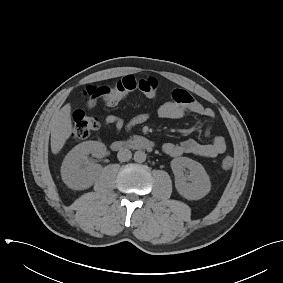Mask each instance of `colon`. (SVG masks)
Here are the masks:
<instances>
[{"mask_svg":"<svg viewBox=\"0 0 283 283\" xmlns=\"http://www.w3.org/2000/svg\"><path fill=\"white\" fill-rule=\"evenodd\" d=\"M158 81L153 77L137 79L128 75L120 79L112 86L107 87L104 92V100L107 104L114 105L128 93L140 91L145 95L153 96L157 92ZM100 127L97 117L87 114L82 110H77L73 114L72 135L77 139H85ZM233 165V158L225 156L220 162L223 170H228Z\"/></svg>","mask_w":283,"mask_h":283,"instance_id":"5ec220e1","label":"colon"}]
</instances>
